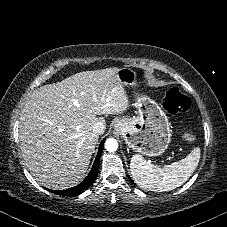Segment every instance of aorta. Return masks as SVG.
<instances>
[{
  "label": "aorta",
  "instance_id": "1",
  "mask_svg": "<svg viewBox=\"0 0 227 227\" xmlns=\"http://www.w3.org/2000/svg\"><path fill=\"white\" fill-rule=\"evenodd\" d=\"M105 148L109 152H114L118 149V142L114 138H109L105 142Z\"/></svg>",
  "mask_w": 227,
  "mask_h": 227
}]
</instances>
